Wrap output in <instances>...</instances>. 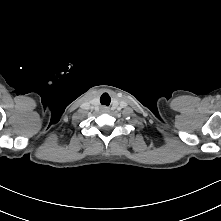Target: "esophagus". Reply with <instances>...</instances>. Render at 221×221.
<instances>
[{
	"instance_id": "esophagus-1",
	"label": "esophagus",
	"mask_w": 221,
	"mask_h": 221,
	"mask_svg": "<svg viewBox=\"0 0 221 221\" xmlns=\"http://www.w3.org/2000/svg\"><path fill=\"white\" fill-rule=\"evenodd\" d=\"M103 111H104V112H107V111H108V109H107L106 107H104V108H103Z\"/></svg>"
}]
</instances>
